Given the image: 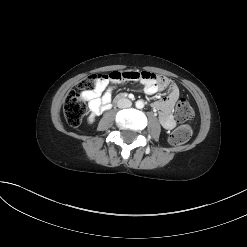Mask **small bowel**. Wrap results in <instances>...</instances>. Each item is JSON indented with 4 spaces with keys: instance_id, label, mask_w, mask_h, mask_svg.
Returning a JSON list of instances; mask_svg holds the SVG:
<instances>
[{
    "instance_id": "small-bowel-1",
    "label": "small bowel",
    "mask_w": 247,
    "mask_h": 247,
    "mask_svg": "<svg viewBox=\"0 0 247 247\" xmlns=\"http://www.w3.org/2000/svg\"><path fill=\"white\" fill-rule=\"evenodd\" d=\"M125 81H140L148 95L167 89V97L156 101L153 108L159 113V121L165 129L171 130L176 126L172 111L180 96L179 88L169 79L158 77L151 70H122L101 75L92 89L82 93L83 98L88 101L92 114L99 115L111 107L112 88L108 87L109 83L117 84Z\"/></svg>"
}]
</instances>
